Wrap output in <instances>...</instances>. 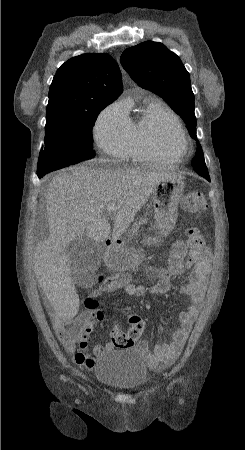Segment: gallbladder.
<instances>
[{"label":"gallbladder","mask_w":245,"mask_h":450,"mask_svg":"<svg viewBox=\"0 0 245 450\" xmlns=\"http://www.w3.org/2000/svg\"><path fill=\"white\" fill-rule=\"evenodd\" d=\"M72 263V277L78 283L79 277L96 270L103 258L102 246L87 236L72 241L67 248Z\"/></svg>","instance_id":"1"}]
</instances>
